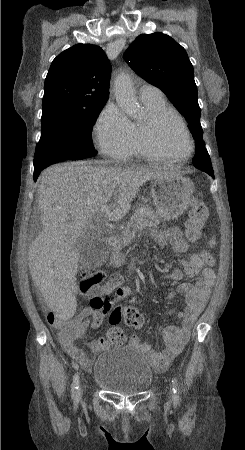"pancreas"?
Here are the masks:
<instances>
[{
	"label": "pancreas",
	"instance_id": "1",
	"mask_svg": "<svg viewBox=\"0 0 245 450\" xmlns=\"http://www.w3.org/2000/svg\"><path fill=\"white\" fill-rule=\"evenodd\" d=\"M160 219L157 214L148 206L138 207L125 227L123 232V243L128 245L131 243L135 234L139 230L145 228L157 227Z\"/></svg>",
	"mask_w": 245,
	"mask_h": 450
}]
</instances>
